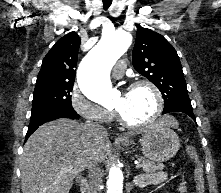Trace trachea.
<instances>
[{
  "instance_id": "trachea-1",
  "label": "trachea",
  "mask_w": 221,
  "mask_h": 193,
  "mask_svg": "<svg viewBox=\"0 0 221 193\" xmlns=\"http://www.w3.org/2000/svg\"><path fill=\"white\" fill-rule=\"evenodd\" d=\"M112 3V0H103V8L107 10Z\"/></svg>"
}]
</instances>
